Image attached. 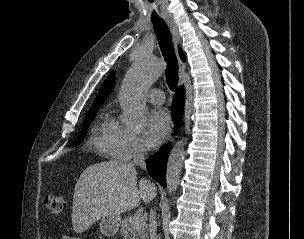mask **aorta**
Returning <instances> with one entry per match:
<instances>
[{
	"instance_id": "aorta-1",
	"label": "aorta",
	"mask_w": 304,
	"mask_h": 239,
	"mask_svg": "<svg viewBox=\"0 0 304 239\" xmlns=\"http://www.w3.org/2000/svg\"><path fill=\"white\" fill-rule=\"evenodd\" d=\"M162 71V63L151 56L144 55L135 59L125 76L120 92L125 122L138 126L145 121L147 116L145 93ZM184 158V142L179 140L172 148L167 162L166 183L169 194L176 191L180 183Z\"/></svg>"
}]
</instances>
